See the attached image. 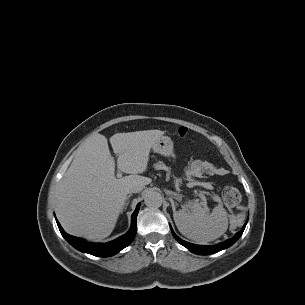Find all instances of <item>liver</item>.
I'll return each instance as SVG.
<instances>
[{"label":"liver","instance_id":"liver-1","mask_svg":"<svg viewBox=\"0 0 305 305\" xmlns=\"http://www.w3.org/2000/svg\"><path fill=\"white\" fill-rule=\"evenodd\" d=\"M160 130L116 133L110 138L118 169L130 174L117 179L115 161L105 136L93 134L77 149L57 186L56 214L64 230L88 239H104L113 231L131 186L151 183L147 170Z\"/></svg>","mask_w":305,"mask_h":305}]
</instances>
